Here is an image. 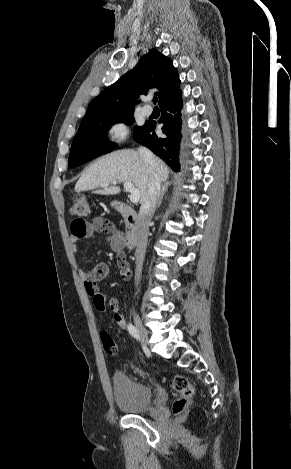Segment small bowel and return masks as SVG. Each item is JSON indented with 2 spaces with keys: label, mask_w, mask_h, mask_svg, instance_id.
I'll return each instance as SVG.
<instances>
[{
  "label": "small bowel",
  "mask_w": 291,
  "mask_h": 469,
  "mask_svg": "<svg viewBox=\"0 0 291 469\" xmlns=\"http://www.w3.org/2000/svg\"><path fill=\"white\" fill-rule=\"evenodd\" d=\"M72 242V250L74 253L79 251L77 245L80 239L91 238L96 234L103 235L104 241L108 243L110 248L118 253V256H124L122 250L124 248V236L119 232L114 225L102 218L96 217L91 222L74 220L70 226ZM118 258V257H117ZM126 259V258H125ZM110 273L109 266L106 263H98L89 271H80V276L83 281L87 294L92 299L97 296L98 283L108 277ZM107 305L114 312V321L122 329L126 328V320L122 314L118 311V301L115 298H107Z\"/></svg>",
  "instance_id": "1"
}]
</instances>
